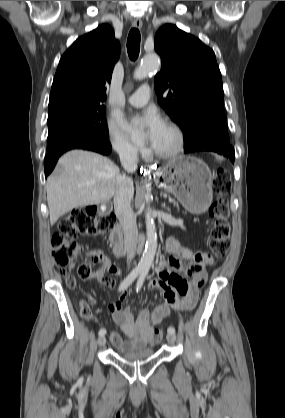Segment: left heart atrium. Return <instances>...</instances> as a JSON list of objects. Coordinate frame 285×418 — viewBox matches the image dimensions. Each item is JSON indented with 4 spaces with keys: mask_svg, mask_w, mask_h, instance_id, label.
<instances>
[{
    "mask_svg": "<svg viewBox=\"0 0 285 418\" xmlns=\"http://www.w3.org/2000/svg\"><path fill=\"white\" fill-rule=\"evenodd\" d=\"M132 122L134 126L144 127L146 129L148 141L153 146L165 128L164 120L153 109L135 114L132 118Z\"/></svg>",
    "mask_w": 285,
    "mask_h": 418,
    "instance_id": "obj_1",
    "label": "left heart atrium"
}]
</instances>
